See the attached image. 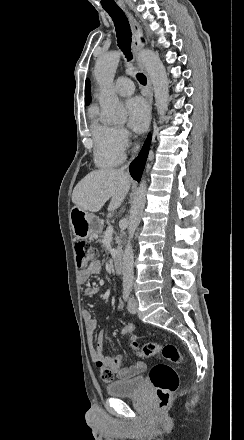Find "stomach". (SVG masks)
Masks as SVG:
<instances>
[{
    "label": "stomach",
    "instance_id": "1",
    "mask_svg": "<svg viewBox=\"0 0 244 440\" xmlns=\"http://www.w3.org/2000/svg\"><path fill=\"white\" fill-rule=\"evenodd\" d=\"M69 220L73 236H75L77 240H87L92 234L102 232L99 218L93 216V214H88L87 210H82V208H78V206L71 208Z\"/></svg>",
    "mask_w": 244,
    "mask_h": 440
}]
</instances>
